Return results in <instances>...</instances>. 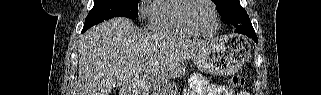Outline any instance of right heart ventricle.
<instances>
[{
	"label": "right heart ventricle",
	"mask_w": 321,
	"mask_h": 95,
	"mask_svg": "<svg viewBox=\"0 0 321 95\" xmlns=\"http://www.w3.org/2000/svg\"><path fill=\"white\" fill-rule=\"evenodd\" d=\"M186 0H153L148 8V26L151 30L197 36L181 18V11Z\"/></svg>",
	"instance_id": "1"
}]
</instances>
